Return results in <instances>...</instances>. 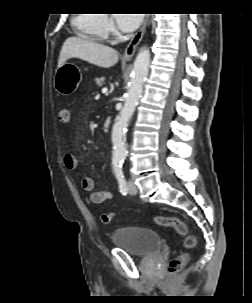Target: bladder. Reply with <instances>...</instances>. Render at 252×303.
Wrapping results in <instances>:
<instances>
[{
	"instance_id": "bladder-1",
	"label": "bladder",
	"mask_w": 252,
	"mask_h": 303,
	"mask_svg": "<svg viewBox=\"0 0 252 303\" xmlns=\"http://www.w3.org/2000/svg\"><path fill=\"white\" fill-rule=\"evenodd\" d=\"M112 243L117 248L127 251L136 257H148L160 251L162 239L149 228L124 227L112 234Z\"/></svg>"
}]
</instances>
